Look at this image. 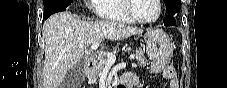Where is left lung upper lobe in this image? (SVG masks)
<instances>
[{
  "instance_id": "obj_1",
  "label": "left lung upper lobe",
  "mask_w": 227,
  "mask_h": 88,
  "mask_svg": "<svg viewBox=\"0 0 227 88\" xmlns=\"http://www.w3.org/2000/svg\"><path fill=\"white\" fill-rule=\"evenodd\" d=\"M166 5V12L167 13H174L176 14L180 11L181 8V0H164Z\"/></svg>"
}]
</instances>
